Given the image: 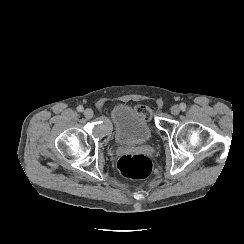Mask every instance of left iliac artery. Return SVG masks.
<instances>
[{
    "instance_id": "left-iliac-artery-1",
    "label": "left iliac artery",
    "mask_w": 244,
    "mask_h": 244,
    "mask_svg": "<svg viewBox=\"0 0 244 244\" xmlns=\"http://www.w3.org/2000/svg\"><path fill=\"white\" fill-rule=\"evenodd\" d=\"M180 109H181L182 111H184V110L186 109V104H185V103H181V104H180Z\"/></svg>"
}]
</instances>
